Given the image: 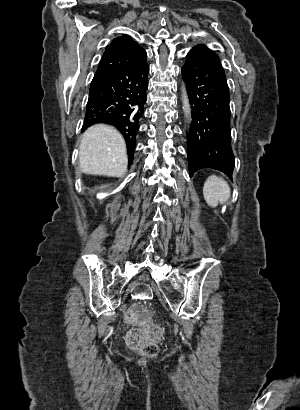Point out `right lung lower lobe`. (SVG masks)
<instances>
[{"instance_id":"1","label":"right lung lower lobe","mask_w":300,"mask_h":410,"mask_svg":"<svg viewBox=\"0 0 300 410\" xmlns=\"http://www.w3.org/2000/svg\"><path fill=\"white\" fill-rule=\"evenodd\" d=\"M148 72L149 66L145 60L95 75L86 106L82 129L96 123L117 128L125 138L130 163L147 99Z\"/></svg>"}]
</instances>
